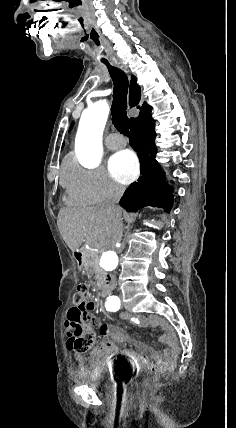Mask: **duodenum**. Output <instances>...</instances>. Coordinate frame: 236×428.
Listing matches in <instances>:
<instances>
[{
	"label": "duodenum",
	"mask_w": 236,
	"mask_h": 428,
	"mask_svg": "<svg viewBox=\"0 0 236 428\" xmlns=\"http://www.w3.org/2000/svg\"><path fill=\"white\" fill-rule=\"evenodd\" d=\"M73 257L77 267L81 270L84 267V257L83 252L80 249H77L73 252ZM115 286V280L113 276H106L102 282V285L98 291V295L104 299H107L112 296Z\"/></svg>",
	"instance_id": "1"
}]
</instances>
